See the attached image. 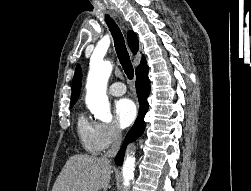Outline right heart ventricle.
<instances>
[{"mask_svg": "<svg viewBox=\"0 0 251 191\" xmlns=\"http://www.w3.org/2000/svg\"><path fill=\"white\" fill-rule=\"evenodd\" d=\"M77 133L82 147L87 152L96 154L100 151L96 141V124L88 121L83 114L78 117Z\"/></svg>", "mask_w": 251, "mask_h": 191, "instance_id": "1", "label": "right heart ventricle"}]
</instances>
